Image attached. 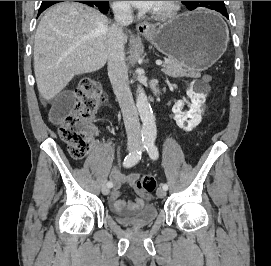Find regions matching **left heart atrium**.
<instances>
[{"label":"left heart atrium","instance_id":"left-heart-atrium-1","mask_svg":"<svg viewBox=\"0 0 271 266\" xmlns=\"http://www.w3.org/2000/svg\"><path fill=\"white\" fill-rule=\"evenodd\" d=\"M134 7L149 11L155 9L156 6L159 4L160 1H129Z\"/></svg>","mask_w":271,"mask_h":266}]
</instances>
